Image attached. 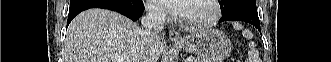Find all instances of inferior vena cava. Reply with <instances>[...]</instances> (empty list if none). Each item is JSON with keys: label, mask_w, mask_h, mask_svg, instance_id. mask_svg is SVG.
<instances>
[{"label": "inferior vena cava", "mask_w": 331, "mask_h": 62, "mask_svg": "<svg viewBox=\"0 0 331 62\" xmlns=\"http://www.w3.org/2000/svg\"><path fill=\"white\" fill-rule=\"evenodd\" d=\"M166 20V14L162 8L155 5L147 7V14L142 18L141 23L144 28L142 30L141 52L142 60L140 62H148L147 55L150 53L152 44L160 40V33L163 30V25Z\"/></svg>", "instance_id": "obj_1"}]
</instances>
